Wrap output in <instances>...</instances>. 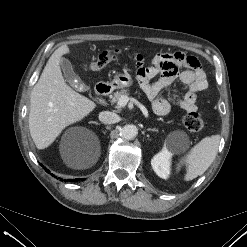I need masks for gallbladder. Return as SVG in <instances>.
I'll use <instances>...</instances> for the list:
<instances>
[{
	"label": "gallbladder",
	"mask_w": 247,
	"mask_h": 247,
	"mask_svg": "<svg viewBox=\"0 0 247 247\" xmlns=\"http://www.w3.org/2000/svg\"><path fill=\"white\" fill-rule=\"evenodd\" d=\"M60 67L63 71L65 80L68 81L71 86H75L77 89H79L80 86H82V81L74 72L71 62L65 58H61Z\"/></svg>",
	"instance_id": "gallbladder-1"
}]
</instances>
